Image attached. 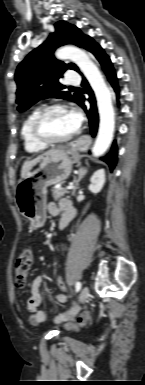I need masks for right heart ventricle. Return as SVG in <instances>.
I'll return each instance as SVG.
<instances>
[{
	"label": "right heart ventricle",
	"instance_id": "right-heart-ventricle-1",
	"mask_svg": "<svg viewBox=\"0 0 145 385\" xmlns=\"http://www.w3.org/2000/svg\"><path fill=\"white\" fill-rule=\"evenodd\" d=\"M39 111H40L39 108L33 109L27 115V117L25 118V120L23 121L22 126H21V131H20L21 138L23 141L24 149L28 153H38V152L43 151L46 147V146L38 143L33 138L32 133H31V127H32L33 120Z\"/></svg>",
	"mask_w": 145,
	"mask_h": 385
}]
</instances>
